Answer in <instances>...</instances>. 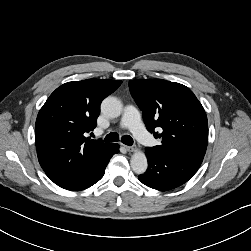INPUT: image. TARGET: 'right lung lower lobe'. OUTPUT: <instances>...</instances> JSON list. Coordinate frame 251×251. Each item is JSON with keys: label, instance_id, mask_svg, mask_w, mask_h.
I'll use <instances>...</instances> for the list:
<instances>
[{"label": "right lung lower lobe", "instance_id": "98d812e1", "mask_svg": "<svg viewBox=\"0 0 251 251\" xmlns=\"http://www.w3.org/2000/svg\"><path fill=\"white\" fill-rule=\"evenodd\" d=\"M118 152L119 146L117 144H111L106 151L94 157L83 167L76 168L69 172L54 170L45 171V173L56 185L64 189L71 191L84 190L94 185L103 177L105 168L111 157Z\"/></svg>", "mask_w": 251, "mask_h": 251}]
</instances>
